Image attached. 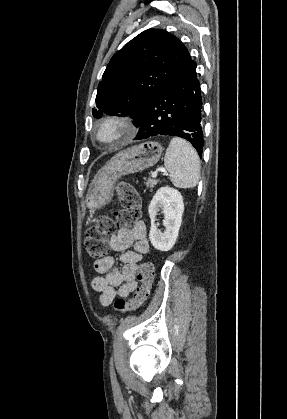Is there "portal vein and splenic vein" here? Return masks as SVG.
<instances>
[{
  "instance_id": "18ae733b",
  "label": "portal vein and splenic vein",
  "mask_w": 287,
  "mask_h": 419,
  "mask_svg": "<svg viewBox=\"0 0 287 419\" xmlns=\"http://www.w3.org/2000/svg\"><path fill=\"white\" fill-rule=\"evenodd\" d=\"M158 171H162V172L166 173V170L164 168L158 169V170H156L155 172L152 173V178L157 177Z\"/></svg>"
}]
</instances>
